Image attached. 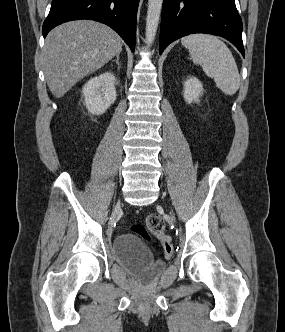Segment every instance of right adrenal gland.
Here are the masks:
<instances>
[{"label":"right adrenal gland","mask_w":285,"mask_h":332,"mask_svg":"<svg viewBox=\"0 0 285 332\" xmlns=\"http://www.w3.org/2000/svg\"><path fill=\"white\" fill-rule=\"evenodd\" d=\"M116 62V64L119 66L120 63H119V54L116 56V60H114Z\"/></svg>","instance_id":"obj_1"}]
</instances>
